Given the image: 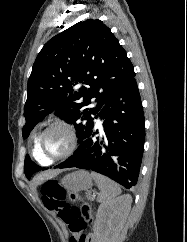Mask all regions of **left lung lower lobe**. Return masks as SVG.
Returning a JSON list of instances; mask_svg holds the SVG:
<instances>
[{
    "instance_id": "1",
    "label": "left lung lower lobe",
    "mask_w": 187,
    "mask_h": 242,
    "mask_svg": "<svg viewBox=\"0 0 187 242\" xmlns=\"http://www.w3.org/2000/svg\"><path fill=\"white\" fill-rule=\"evenodd\" d=\"M94 124L72 156L55 168L88 169L113 179L127 189L138 181L145 141V121L135 78L102 107Z\"/></svg>"
}]
</instances>
